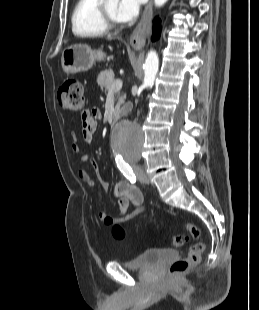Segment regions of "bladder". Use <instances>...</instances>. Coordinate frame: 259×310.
<instances>
[{
	"instance_id": "31cf9c89",
	"label": "bladder",
	"mask_w": 259,
	"mask_h": 310,
	"mask_svg": "<svg viewBox=\"0 0 259 310\" xmlns=\"http://www.w3.org/2000/svg\"><path fill=\"white\" fill-rule=\"evenodd\" d=\"M176 257L177 252L174 250L150 249L142 252L134 259L124 262L123 266L127 269H147Z\"/></svg>"
}]
</instances>
